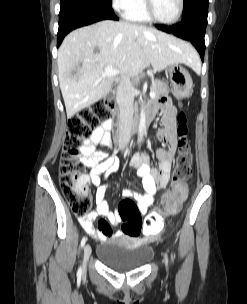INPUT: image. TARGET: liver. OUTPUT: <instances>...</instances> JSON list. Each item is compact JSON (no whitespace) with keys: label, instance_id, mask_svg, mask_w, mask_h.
<instances>
[{"label":"liver","instance_id":"liver-1","mask_svg":"<svg viewBox=\"0 0 247 304\" xmlns=\"http://www.w3.org/2000/svg\"><path fill=\"white\" fill-rule=\"evenodd\" d=\"M57 63L68 118L110 92L117 76L103 77L105 67L136 77L149 65L154 71L179 63L199 66L190 44L153 28L111 20L69 33L58 50Z\"/></svg>","mask_w":247,"mask_h":304}]
</instances>
